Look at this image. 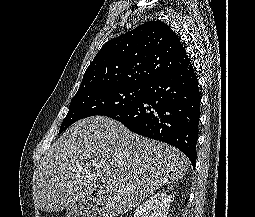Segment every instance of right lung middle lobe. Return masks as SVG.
Masks as SVG:
<instances>
[{
  "label": "right lung middle lobe",
  "instance_id": "dd1d6c3e",
  "mask_svg": "<svg viewBox=\"0 0 255 217\" xmlns=\"http://www.w3.org/2000/svg\"><path fill=\"white\" fill-rule=\"evenodd\" d=\"M145 89L146 86L142 85H114L77 91L59 133L80 119L95 115L105 116L129 107L142 96Z\"/></svg>",
  "mask_w": 255,
  "mask_h": 217
}]
</instances>
